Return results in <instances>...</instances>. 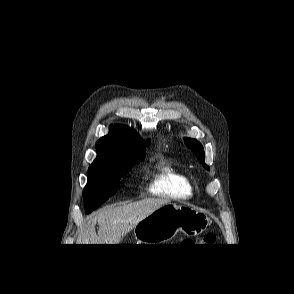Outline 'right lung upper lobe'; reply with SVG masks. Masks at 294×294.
Masks as SVG:
<instances>
[{
  "mask_svg": "<svg viewBox=\"0 0 294 294\" xmlns=\"http://www.w3.org/2000/svg\"><path fill=\"white\" fill-rule=\"evenodd\" d=\"M96 151L97 158H140L145 155V145L133 129L112 125L110 133L97 141Z\"/></svg>",
  "mask_w": 294,
  "mask_h": 294,
  "instance_id": "cb5924a9",
  "label": "right lung upper lobe"
}]
</instances>
